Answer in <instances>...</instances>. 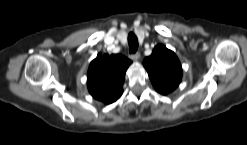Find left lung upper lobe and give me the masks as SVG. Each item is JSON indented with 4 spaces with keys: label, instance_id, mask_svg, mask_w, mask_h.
Instances as JSON below:
<instances>
[{
    "label": "left lung upper lobe",
    "instance_id": "obj_1",
    "mask_svg": "<svg viewBox=\"0 0 247 145\" xmlns=\"http://www.w3.org/2000/svg\"><path fill=\"white\" fill-rule=\"evenodd\" d=\"M143 64L153 86L163 95L172 92L181 82L180 61L173 51L163 45H157Z\"/></svg>",
    "mask_w": 247,
    "mask_h": 145
}]
</instances>
